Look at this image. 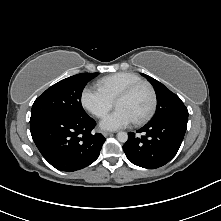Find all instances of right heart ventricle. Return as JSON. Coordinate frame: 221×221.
<instances>
[{"label": "right heart ventricle", "instance_id": "e07e8e85", "mask_svg": "<svg viewBox=\"0 0 221 221\" xmlns=\"http://www.w3.org/2000/svg\"><path fill=\"white\" fill-rule=\"evenodd\" d=\"M139 81H142V78L136 73L119 72L101 78L97 82V87L114 102L124 89Z\"/></svg>", "mask_w": 221, "mask_h": 221}]
</instances>
